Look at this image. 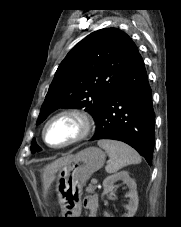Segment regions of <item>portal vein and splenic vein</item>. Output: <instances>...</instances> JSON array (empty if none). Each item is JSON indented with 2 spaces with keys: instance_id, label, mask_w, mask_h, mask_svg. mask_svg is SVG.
<instances>
[{
  "instance_id": "obj_1",
  "label": "portal vein and splenic vein",
  "mask_w": 181,
  "mask_h": 227,
  "mask_svg": "<svg viewBox=\"0 0 181 227\" xmlns=\"http://www.w3.org/2000/svg\"><path fill=\"white\" fill-rule=\"evenodd\" d=\"M91 183L94 184V185L97 184V179H96V178H93V179L91 180Z\"/></svg>"
}]
</instances>
